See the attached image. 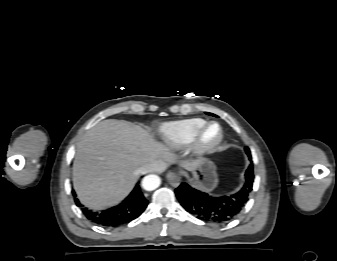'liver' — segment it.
I'll return each mask as SVG.
<instances>
[{
	"mask_svg": "<svg viewBox=\"0 0 337 261\" xmlns=\"http://www.w3.org/2000/svg\"><path fill=\"white\" fill-rule=\"evenodd\" d=\"M165 145L140 126L108 119L99 122L78 142L73 162V186L79 200L91 209L121 201L133 189L146 164L172 162ZM198 161H183L193 171Z\"/></svg>",
	"mask_w": 337,
	"mask_h": 261,
	"instance_id": "6515ba94",
	"label": "liver"
}]
</instances>
